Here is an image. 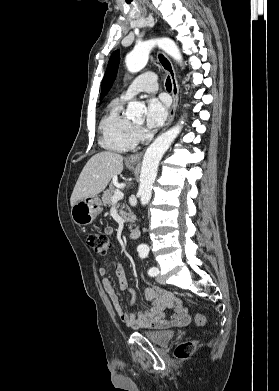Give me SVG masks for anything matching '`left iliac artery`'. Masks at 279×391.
<instances>
[{"instance_id": "1", "label": "left iliac artery", "mask_w": 279, "mask_h": 391, "mask_svg": "<svg viewBox=\"0 0 279 391\" xmlns=\"http://www.w3.org/2000/svg\"><path fill=\"white\" fill-rule=\"evenodd\" d=\"M138 251H139V256L141 258H146L148 256V250H146V249H139ZM158 273H159V270L156 267H151L148 270V275L153 276V277L156 276Z\"/></svg>"}]
</instances>
